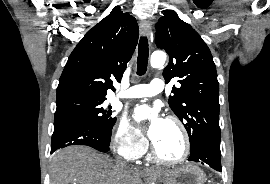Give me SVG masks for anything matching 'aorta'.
Segmentation results:
<instances>
[{
	"instance_id": "aorta-1",
	"label": "aorta",
	"mask_w": 270,
	"mask_h": 184,
	"mask_svg": "<svg viewBox=\"0 0 270 184\" xmlns=\"http://www.w3.org/2000/svg\"><path fill=\"white\" fill-rule=\"evenodd\" d=\"M166 61V54L164 52H154L151 55V66L154 68H159L162 67L164 65Z\"/></svg>"
}]
</instances>
